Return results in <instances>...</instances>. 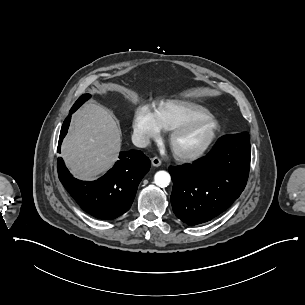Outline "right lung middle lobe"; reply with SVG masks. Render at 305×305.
Masks as SVG:
<instances>
[{
  "mask_svg": "<svg viewBox=\"0 0 305 305\" xmlns=\"http://www.w3.org/2000/svg\"><path fill=\"white\" fill-rule=\"evenodd\" d=\"M91 97L90 94H84L82 95L77 101H76V104L78 106H81L86 100H88L89 98Z\"/></svg>",
  "mask_w": 305,
  "mask_h": 305,
  "instance_id": "obj_1",
  "label": "right lung middle lobe"
}]
</instances>
